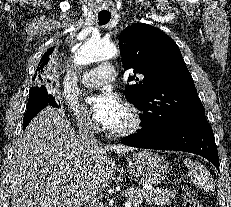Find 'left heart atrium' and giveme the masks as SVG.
I'll list each match as a JSON object with an SVG mask.
<instances>
[{
	"label": "left heart atrium",
	"instance_id": "39dd6f15",
	"mask_svg": "<svg viewBox=\"0 0 231 207\" xmlns=\"http://www.w3.org/2000/svg\"><path fill=\"white\" fill-rule=\"evenodd\" d=\"M96 120L104 126L110 124L121 112L123 105L111 91H103L89 99Z\"/></svg>",
	"mask_w": 231,
	"mask_h": 207
}]
</instances>
